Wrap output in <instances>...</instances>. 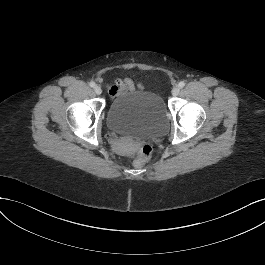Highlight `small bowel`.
<instances>
[{"instance_id":"small-bowel-1","label":"small bowel","mask_w":265,"mask_h":265,"mask_svg":"<svg viewBox=\"0 0 265 265\" xmlns=\"http://www.w3.org/2000/svg\"><path fill=\"white\" fill-rule=\"evenodd\" d=\"M133 86V84L128 80H118L115 81L109 88L111 95H118L121 94L128 89H130Z\"/></svg>"}]
</instances>
